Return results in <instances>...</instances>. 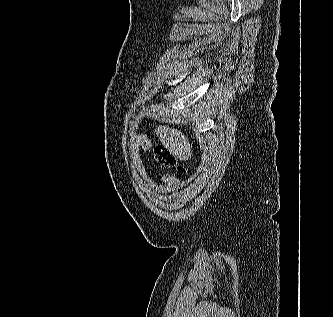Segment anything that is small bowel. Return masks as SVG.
Wrapping results in <instances>:
<instances>
[{"instance_id":"obj_1","label":"small bowel","mask_w":333,"mask_h":317,"mask_svg":"<svg viewBox=\"0 0 333 317\" xmlns=\"http://www.w3.org/2000/svg\"><path fill=\"white\" fill-rule=\"evenodd\" d=\"M148 146V140L145 135L139 134L137 135L131 143L130 147V156L134 166L136 167L137 171L141 175L142 178L147 177V171L142 159L141 152L142 150L146 149ZM176 188V183L174 179L171 177H167L164 180L162 192H171Z\"/></svg>"}]
</instances>
